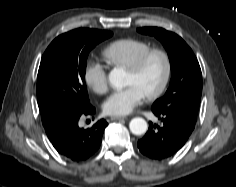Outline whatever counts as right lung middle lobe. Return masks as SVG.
Segmentation results:
<instances>
[{"mask_svg":"<svg viewBox=\"0 0 236 187\" xmlns=\"http://www.w3.org/2000/svg\"><path fill=\"white\" fill-rule=\"evenodd\" d=\"M112 32L88 29L58 36L42 56L37 102L46 132L83 113L90 101L85 84L89 52Z\"/></svg>","mask_w":236,"mask_h":187,"instance_id":"right-lung-middle-lobe-1","label":"right lung middle lobe"}]
</instances>
